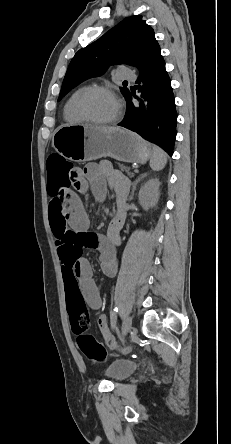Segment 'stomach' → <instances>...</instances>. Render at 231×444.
Listing matches in <instances>:
<instances>
[{
	"mask_svg": "<svg viewBox=\"0 0 231 444\" xmlns=\"http://www.w3.org/2000/svg\"><path fill=\"white\" fill-rule=\"evenodd\" d=\"M52 146L63 157L77 162L111 157L123 162L143 163L152 155L149 144L128 130L104 131L80 124L59 126L53 134Z\"/></svg>",
	"mask_w": 231,
	"mask_h": 444,
	"instance_id": "obj_1",
	"label": "stomach"
}]
</instances>
